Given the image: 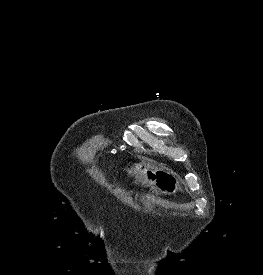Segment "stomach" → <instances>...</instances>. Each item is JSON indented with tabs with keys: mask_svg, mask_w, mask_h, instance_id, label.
Listing matches in <instances>:
<instances>
[{
	"mask_svg": "<svg viewBox=\"0 0 263 275\" xmlns=\"http://www.w3.org/2000/svg\"><path fill=\"white\" fill-rule=\"evenodd\" d=\"M128 173L135 175V178L144 184H149L165 195L175 194L179 188V180L173 172L154 169L147 163H137Z\"/></svg>",
	"mask_w": 263,
	"mask_h": 275,
	"instance_id": "obj_1",
	"label": "stomach"
}]
</instances>
